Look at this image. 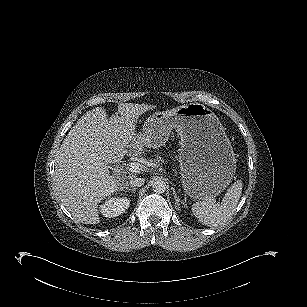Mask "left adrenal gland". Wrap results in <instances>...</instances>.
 Returning <instances> with one entry per match:
<instances>
[{
	"instance_id": "a2214340",
	"label": "left adrenal gland",
	"mask_w": 307,
	"mask_h": 307,
	"mask_svg": "<svg viewBox=\"0 0 307 307\" xmlns=\"http://www.w3.org/2000/svg\"><path fill=\"white\" fill-rule=\"evenodd\" d=\"M172 190H173V195H174V199H175V204L178 207L180 206V202L184 204V202L182 200H180V198L177 196L175 189L172 188Z\"/></svg>"
}]
</instances>
